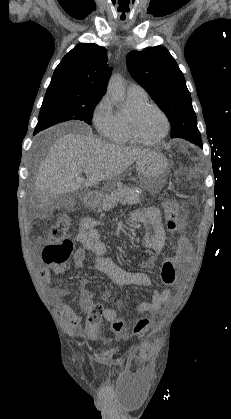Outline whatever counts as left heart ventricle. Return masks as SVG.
I'll return each mask as SVG.
<instances>
[{
    "instance_id": "left-heart-ventricle-1",
    "label": "left heart ventricle",
    "mask_w": 231,
    "mask_h": 419,
    "mask_svg": "<svg viewBox=\"0 0 231 419\" xmlns=\"http://www.w3.org/2000/svg\"><path fill=\"white\" fill-rule=\"evenodd\" d=\"M139 134L145 139L159 137L164 129L165 122L162 115L155 109H147L137 118L136 122Z\"/></svg>"
}]
</instances>
